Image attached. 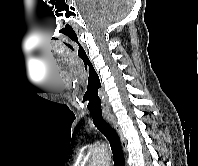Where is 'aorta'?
Instances as JSON below:
<instances>
[{
    "instance_id": "aorta-1",
    "label": "aorta",
    "mask_w": 198,
    "mask_h": 166,
    "mask_svg": "<svg viewBox=\"0 0 198 166\" xmlns=\"http://www.w3.org/2000/svg\"><path fill=\"white\" fill-rule=\"evenodd\" d=\"M110 164V155L107 152L97 153L89 166H109Z\"/></svg>"
}]
</instances>
